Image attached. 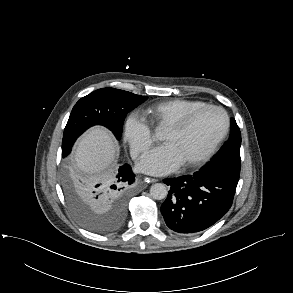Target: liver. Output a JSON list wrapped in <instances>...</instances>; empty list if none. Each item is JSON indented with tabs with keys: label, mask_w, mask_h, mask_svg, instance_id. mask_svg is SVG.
<instances>
[{
	"label": "liver",
	"mask_w": 293,
	"mask_h": 293,
	"mask_svg": "<svg viewBox=\"0 0 293 293\" xmlns=\"http://www.w3.org/2000/svg\"><path fill=\"white\" fill-rule=\"evenodd\" d=\"M117 154L118 146L112 135L102 127H94L79 140L74 157L79 171L95 177L114 163Z\"/></svg>",
	"instance_id": "1"
}]
</instances>
